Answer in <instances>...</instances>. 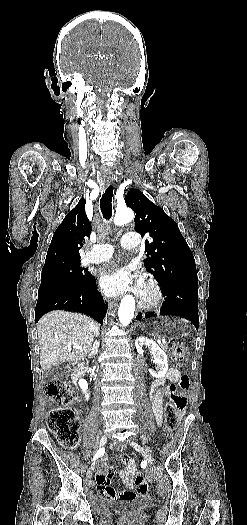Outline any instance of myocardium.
<instances>
[{"mask_svg": "<svg viewBox=\"0 0 247 525\" xmlns=\"http://www.w3.org/2000/svg\"><path fill=\"white\" fill-rule=\"evenodd\" d=\"M143 279L148 281L151 292L149 295L143 294L138 306L140 308H151L156 306L162 299V290L152 274L145 273Z\"/></svg>", "mask_w": 247, "mask_h": 525, "instance_id": "myocardium-1", "label": "myocardium"}]
</instances>
